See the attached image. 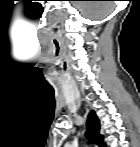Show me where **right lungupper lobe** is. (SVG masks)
<instances>
[{"label":"right lung upper lobe","instance_id":"obj_1","mask_svg":"<svg viewBox=\"0 0 140 147\" xmlns=\"http://www.w3.org/2000/svg\"><path fill=\"white\" fill-rule=\"evenodd\" d=\"M87 136L91 140L98 142L99 147L106 146L103 142V136L100 135V121L94 111H91L88 116Z\"/></svg>","mask_w":140,"mask_h":147}]
</instances>
